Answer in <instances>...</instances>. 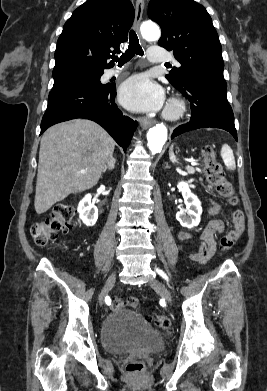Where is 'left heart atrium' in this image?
I'll return each mask as SVG.
<instances>
[{"mask_svg":"<svg viewBox=\"0 0 267 391\" xmlns=\"http://www.w3.org/2000/svg\"><path fill=\"white\" fill-rule=\"evenodd\" d=\"M119 99L128 109L156 111L161 108L164 94L161 87L145 74L130 77L120 87Z\"/></svg>","mask_w":267,"mask_h":391,"instance_id":"39dd6f15","label":"left heart atrium"}]
</instances>
